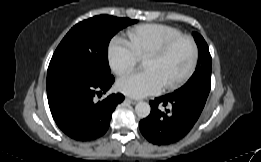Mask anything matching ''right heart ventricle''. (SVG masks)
<instances>
[{
  "instance_id": "1",
  "label": "right heart ventricle",
  "mask_w": 261,
  "mask_h": 162,
  "mask_svg": "<svg viewBox=\"0 0 261 162\" xmlns=\"http://www.w3.org/2000/svg\"><path fill=\"white\" fill-rule=\"evenodd\" d=\"M181 34L177 28L164 24H143L127 31L128 42L139 59Z\"/></svg>"
}]
</instances>
